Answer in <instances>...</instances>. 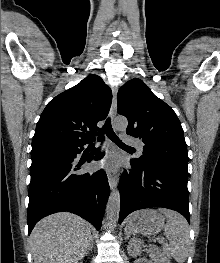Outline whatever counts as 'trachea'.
<instances>
[{
  "mask_svg": "<svg viewBox=\"0 0 220 263\" xmlns=\"http://www.w3.org/2000/svg\"><path fill=\"white\" fill-rule=\"evenodd\" d=\"M102 133L103 134L105 133L116 145L131 148V147L127 146L126 144H124L119 139V137L115 134V132L112 129L111 121L109 118L105 121V124L102 128Z\"/></svg>",
  "mask_w": 220,
  "mask_h": 263,
  "instance_id": "1",
  "label": "trachea"
}]
</instances>
